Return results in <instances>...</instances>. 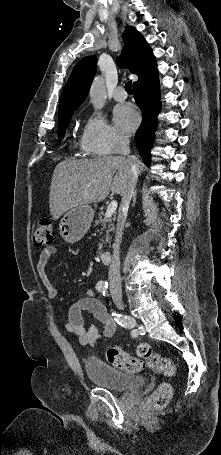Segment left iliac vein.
I'll list each match as a JSON object with an SVG mask.
<instances>
[{
    "label": "left iliac vein",
    "instance_id": "4c4485c4",
    "mask_svg": "<svg viewBox=\"0 0 221 455\" xmlns=\"http://www.w3.org/2000/svg\"><path fill=\"white\" fill-rule=\"evenodd\" d=\"M115 302H116V306L118 309H124V304L122 302L117 301V300H115Z\"/></svg>",
    "mask_w": 221,
    "mask_h": 455
}]
</instances>
